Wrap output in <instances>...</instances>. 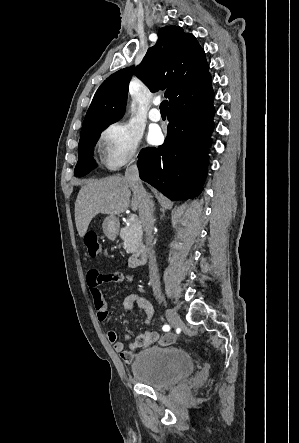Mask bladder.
Here are the masks:
<instances>
[{
	"label": "bladder",
	"mask_w": 299,
	"mask_h": 443,
	"mask_svg": "<svg viewBox=\"0 0 299 443\" xmlns=\"http://www.w3.org/2000/svg\"><path fill=\"white\" fill-rule=\"evenodd\" d=\"M134 378L153 388L174 385L193 370L192 358L176 346L150 347L138 354L130 365Z\"/></svg>",
	"instance_id": "bladder-1"
}]
</instances>
